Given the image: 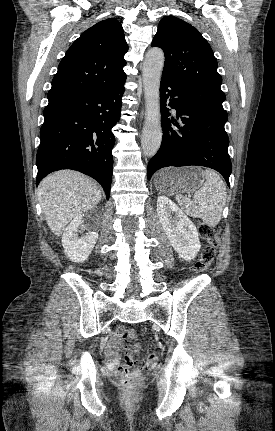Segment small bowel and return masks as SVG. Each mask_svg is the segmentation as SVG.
<instances>
[{"label":"small bowel","instance_id":"1","mask_svg":"<svg viewBox=\"0 0 275 431\" xmlns=\"http://www.w3.org/2000/svg\"><path fill=\"white\" fill-rule=\"evenodd\" d=\"M127 337V332L123 328H119L116 334L113 336V338L108 342L106 353L108 358V364L110 368L115 369L119 365V359L117 355V347L122 341V339ZM132 347L127 346L126 349V356L124 358L125 362H132V354H133Z\"/></svg>","mask_w":275,"mask_h":431}]
</instances>
